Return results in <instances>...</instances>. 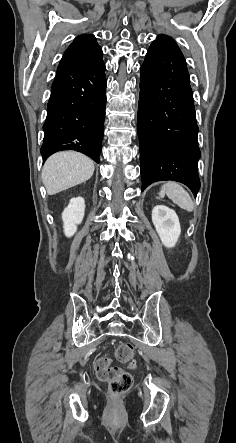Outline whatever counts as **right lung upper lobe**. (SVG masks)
Here are the masks:
<instances>
[{"label": "right lung upper lobe", "instance_id": "1", "mask_svg": "<svg viewBox=\"0 0 236 443\" xmlns=\"http://www.w3.org/2000/svg\"><path fill=\"white\" fill-rule=\"evenodd\" d=\"M102 49L91 34L79 35L65 51L60 64L93 66L103 63Z\"/></svg>", "mask_w": 236, "mask_h": 443}]
</instances>
